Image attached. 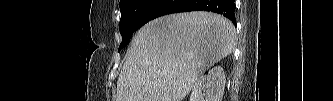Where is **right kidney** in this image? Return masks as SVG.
<instances>
[{
	"mask_svg": "<svg viewBox=\"0 0 333 101\" xmlns=\"http://www.w3.org/2000/svg\"><path fill=\"white\" fill-rule=\"evenodd\" d=\"M226 78L222 67L212 68L208 75L201 76L195 82L190 101H221Z\"/></svg>",
	"mask_w": 333,
	"mask_h": 101,
	"instance_id": "ca27d5eb",
	"label": "right kidney"
}]
</instances>
